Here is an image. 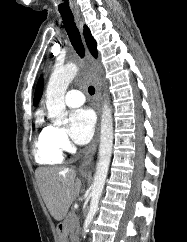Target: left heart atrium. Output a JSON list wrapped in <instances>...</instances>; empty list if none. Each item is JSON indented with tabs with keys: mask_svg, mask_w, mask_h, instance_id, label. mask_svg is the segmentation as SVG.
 I'll list each match as a JSON object with an SVG mask.
<instances>
[{
	"mask_svg": "<svg viewBox=\"0 0 187 242\" xmlns=\"http://www.w3.org/2000/svg\"><path fill=\"white\" fill-rule=\"evenodd\" d=\"M69 135L78 144H85L92 138L95 128V115L89 108H78L71 112Z\"/></svg>",
	"mask_w": 187,
	"mask_h": 242,
	"instance_id": "1",
	"label": "left heart atrium"
}]
</instances>
